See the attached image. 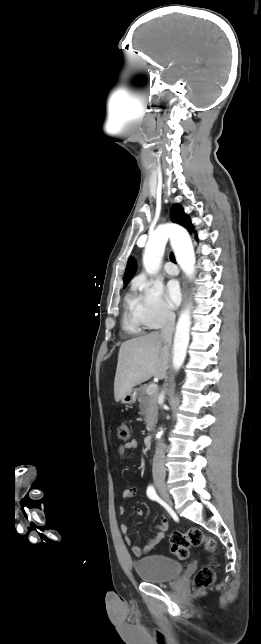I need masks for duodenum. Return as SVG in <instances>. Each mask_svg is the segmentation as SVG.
Wrapping results in <instances>:
<instances>
[{
    "label": "duodenum",
    "instance_id": "duodenum-1",
    "mask_svg": "<svg viewBox=\"0 0 261 644\" xmlns=\"http://www.w3.org/2000/svg\"><path fill=\"white\" fill-rule=\"evenodd\" d=\"M152 441H153V437H152V435H147V436L144 438V445H145V447H146V448H150V447H151V445H152Z\"/></svg>",
    "mask_w": 261,
    "mask_h": 644
}]
</instances>
